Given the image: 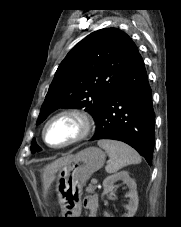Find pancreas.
<instances>
[{"mask_svg": "<svg viewBox=\"0 0 181 227\" xmlns=\"http://www.w3.org/2000/svg\"><path fill=\"white\" fill-rule=\"evenodd\" d=\"M96 188L97 187L94 184H89V186L86 188V192L93 194L95 193Z\"/></svg>", "mask_w": 181, "mask_h": 227, "instance_id": "pancreas-1", "label": "pancreas"}]
</instances>
